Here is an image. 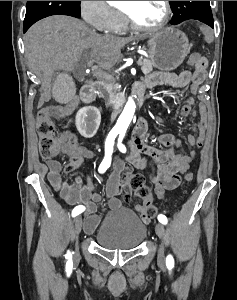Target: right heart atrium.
<instances>
[{
	"instance_id": "obj_1",
	"label": "right heart atrium",
	"mask_w": 237,
	"mask_h": 300,
	"mask_svg": "<svg viewBox=\"0 0 237 300\" xmlns=\"http://www.w3.org/2000/svg\"><path fill=\"white\" fill-rule=\"evenodd\" d=\"M80 12L83 20L96 30H118L119 13L107 1H80Z\"/></svg>"
}]
</instances>
